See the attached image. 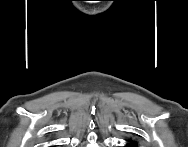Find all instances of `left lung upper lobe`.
<instances>
[{
  "mask_svg": "<svg viewBox=\"0 0 188 147\" xmlns=\"http://www.w3.org/2000/svg\"><path fill=\"white\" fill-rule=\"evenodd\" d=\"M129 142L132 144V147H137V142L136 141L129 140Z\"/></svg>",
  "mask_w": 188,
  "mask_h": 147,
  "instance_id": "left-lung-upper-lobe-1",
  "label": "left lung upper lobe"
}]
</instances>
